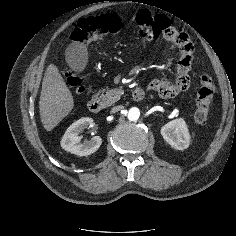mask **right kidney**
<instances>
[{
    "label": "right kidney",
    "mask_w": 236,
    "mask_h": 236,
    "mask_svg": "<svg viewBox=\"0 0 236 236\" xmlns=\"http://www.w3.org/2000/svg\"><path fill=\"white\" fill-rule=\"evenodd\" d=\"M92 124L93 119L89 117L81 118L75 121L66 130L61 140V147L64 150L79 156H87L96 152L101 146V137L95 136L89 141L81 142V136H79L80 132H82Z\"/></svg>",
    "instance_id": "1"
}]
</instances>
